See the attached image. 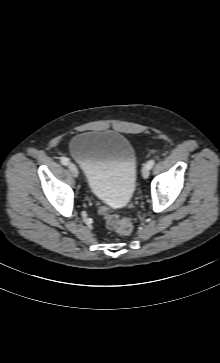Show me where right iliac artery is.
Here are the masks:
<instances>
[{"instance_id":"obj_1","label":"right iliac artery","mask_w":220,"mask_h":363,"mask_svg":"<svg viewBox=\"0 0 220 363\" xmlns=\"http://www.w3.org/2000/svg\"><path fill=\"white\" fill-rule=\"evenodd\" d=\"M61 163L66 166L69 164V159L67 157H61Z\"/></svg>"}]
</instances>
